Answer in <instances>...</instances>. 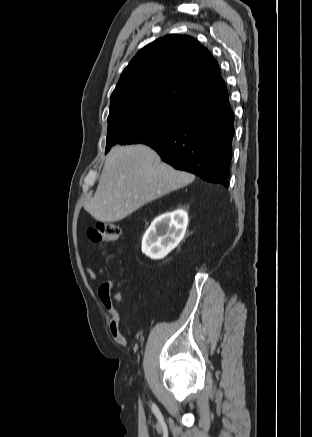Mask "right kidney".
<instances>
[{"label":"right kidney","instance_id":"obj_1","mask_svg":"<svg viewBox=\"0 0 312 437\" xmlns=\"http://www.w3.org/2000/svg\"><path fill=\"white\" fill-rule=\"evenodd\" d=\"M188 214L184 210L165 213L156 218L142 239V252L151 259H162L184 238Z\"/></svg>","mask_w":312,"mask_h":437}]
</instances>
